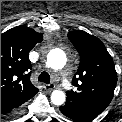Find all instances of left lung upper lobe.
Here are the masks:
<instances>
[{
  "instance_id": "5c2ea615",
  "label": "left lung upper lobe",
  "mask_w": 122,
  "mask_h": 122,
  "mask_svg": "<svg viewBox=\"0 0 122 122\" xmlns=\"http://www.w3.org/2000/svg\"><path fill=\"white\" fill-rule=\"evenodd\" d=\"M68 38L80 55V64L72 80L77 91H67V101L100 114L114 95L117 83L114 62L97 37L75 30L68 33Z\"/></svg>"
}]
</instances>
